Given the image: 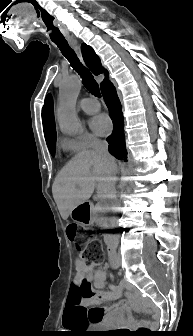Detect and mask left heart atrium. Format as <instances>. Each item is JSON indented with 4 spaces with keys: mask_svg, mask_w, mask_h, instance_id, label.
Masks as SVG:
<instances>
[{
    "mask_svg": "<svg viewBox=\"0 0 193 336\" xmlns=\"http://www.w3.org/2000/svg\"><path fill=\"white\" fill-rule=\"evenodd\" d=\"M90 126L96 134L104 136L111 131L112 122L106 114H99L92 118Z\"/></svg>",
    "mask_w": 193,
    "mask_h": 336,
    "instance_id": "1",
    "label": "left heart atrium"
}]
</instances>
